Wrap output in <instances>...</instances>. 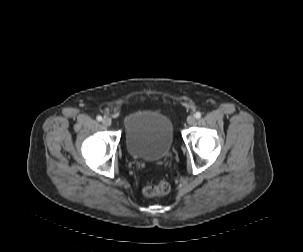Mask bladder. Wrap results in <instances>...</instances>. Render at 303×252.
<instances>
[{
	"label": "bladder",
	"mask_w": 303,
	"mask_h": 252,
	"mask_svg": "<svg viewBox=\"0 0 303 252\" xmlns=\"http://www.w3.org/2000/svg\"><path fill=\"white\" fill-rule=\"evenodd\" d=\"M125 148L130 157L145 161H161L173 146V127L167 116L145 110L124 120Z\"/></svg>",
	"instance_id": "bladder-1"
}]
</instances>
